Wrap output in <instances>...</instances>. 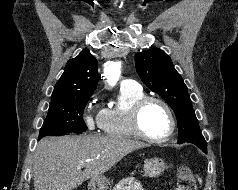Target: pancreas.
I'll return each mask as SVG.
<instances>
[{
    "label": "pancreas",
    "instance_id": "1",
    "mask_svg": "<svg viewBox=\"0 0 238 190\" xmlns=\"http://www.w3.org/2000/svg\"><path fill=\"white\" fill-rule=\"evenodd\" d=\"M113 190H144L141 183L133 177H128L119 181Z\"/></svg>",
    "mask_w": 238,
    "mask_h": 190
}]
</instances>
